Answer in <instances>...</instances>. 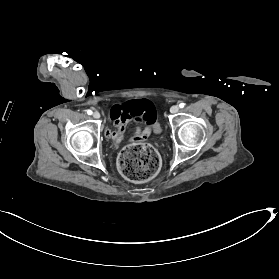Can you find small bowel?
Instances as JSON below:
<instances>
[{
	"label": "small bowel",
	"instance_id": "1",
	"mask_svg": "<svg viewBox=\"0 0 279 279\" xmlns=\"http://www.w3.org/2000/svg\"><path fill=\"white\" fill-rule=\"evenodd\" d=\"M110 117L114 129L105 131L106 138L119 144L125 137V128L130 121L136 124V130L131 134L132 141L144 140L151 132L156 122V112L153 104L148 100H136L114 105L110 110ZM145 122L146 126L141 124Z\"/></svg>",
	"mask_w": 279,
	"mask_h": 279
}]
</instances>
